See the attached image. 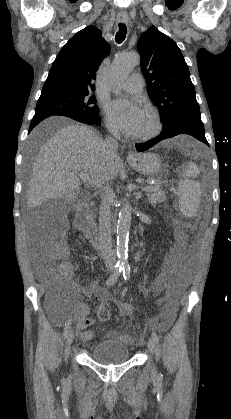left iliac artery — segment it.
<instances>
[{"mask_svg":"<svg viewBox=\"0 0 231 419\" xmlns=\"http://www.w3.org/2000/svg\"><path fill=\"white\" fill-rule=\"evenodd\" d=\"M123 277L125 280H129L130 278V266L128 264L123 265ZM152 338L156 344L159 343V337L155 332H152Z\"/></svg>","mask_w":231,"mask_h":419,"instance_id":"44dca946","label":"left iliac artery"}]
</instances>
